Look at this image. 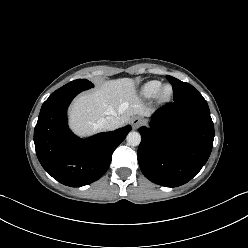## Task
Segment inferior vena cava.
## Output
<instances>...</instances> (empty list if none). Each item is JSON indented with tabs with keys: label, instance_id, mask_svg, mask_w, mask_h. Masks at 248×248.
I'll return each instance as SVG.
<instances>
[{
	"label": "inferior vena cava",
	"instance_id": "obj_1",
	"mask_svg": "<svg viewBox=\"0 0 248 248\" xmlns=\"http://www.w3.org/2000/svg\"><path fill=\"white\" fill-rule=\"evenodd\" d=\"M120 122L117 118L113 116H107L105 118H101L97 122V126L101 129L111 131L115 130L119 127Z\"/></svg>",
	"mask_w": 248,
	"mask_h": 248
}]
</instances>
